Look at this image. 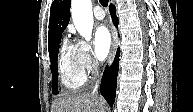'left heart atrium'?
<instances>
[{
    "instance_id": "1",
    "label": "left heart atrium",
    "mask_w": 193,
    "mask_h": 112,
    "mask_svg": "<svg viewBox=\"0 0 193 112\" xmlns=\"http://www.w3.org/2000/svg\"><path fill=\"white\" fill-rule=\"evenodd\" d=\"M112 38L107 27L99 26L94 34V52L99 60H104L111 49Z\"/></svg>"
}]
</instances>
